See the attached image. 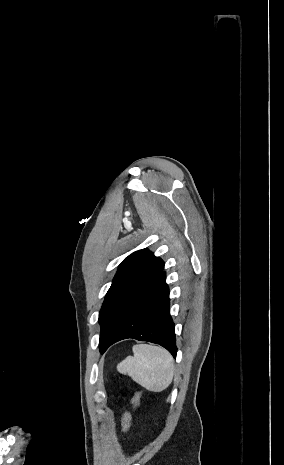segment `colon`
Here are the masks:
<instances>
[{
    "label": "colon",
    "mask_w": 284,
    "mask_h": 465,
    "mask_svg": "<svg viewBox=\"0 0 284 465\" xmlns=\"http://www.w3.org/2000/svg\"><path fill=\"white\" fill-rule=\"evenodd\" d=\"M133 403H134L136 408H140V406H141V392H137L133 396Z\"/></svg>",
    "instance_id": "5ec220e1"
}]
</instances>
